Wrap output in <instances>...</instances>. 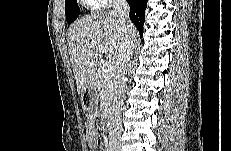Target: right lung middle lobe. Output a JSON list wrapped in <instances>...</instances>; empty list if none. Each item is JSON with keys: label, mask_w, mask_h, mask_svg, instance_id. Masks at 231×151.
<instances>
[{"label": "right lung middle lobe", "mask_w": 231, "mask_h": 151, "mask_svg": "<svg viewBox=\"0 0 231 151\" xmlns=\"http://www.w3.org/2000/svg\"><path fill=\"white\" fill-rule=\"evenodd\" d=\"M65 8H66V21L70 24L74 20H76L80 14V9L78 7L77 0L66 1Z\"/></svg>", "instance_id": "right-lung-middle-lobe-1"}]
</instances>
